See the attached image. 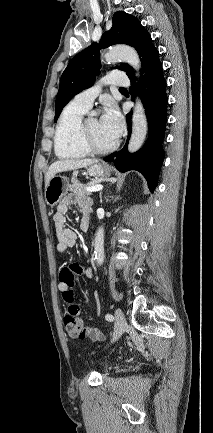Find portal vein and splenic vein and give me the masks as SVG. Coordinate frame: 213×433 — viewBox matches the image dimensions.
<instances>
[{"label": "portal vein and splenic vein", "mask_w": 213, "mask_h": 433, "mask_svg": "<svg viewBox=\"0 0 213 433\" xmlns=\"http://www.w3.org/2000/svg\"><path fill=\"white\" fill-rule=\"evenodd\" d=\"M103 189L102 185H95V186H91V187H87L86 190L88 192H97Z\"/></svg>", "instance_id": "portal-vein-and-splenic-vein-1"}]
</instances>
